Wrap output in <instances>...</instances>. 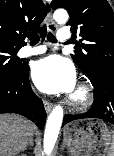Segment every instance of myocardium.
<instances>
[{
    "label": "myocardium",
    "instance_id": "1",
    "mask_svg": "<svg viewBox=\"0 0 114 156\" xmlns=\"http://www.w3.org/2000/svg\"><path fill=\"white\" fill-rule=\"evenodd\" d=\"M69 105L74 110L87 109L93 102V93L89 85L79 84L69 97Z\"/></svg>",
    "mask_w": 114,
    "mask_h": 156
}]
</instances>
